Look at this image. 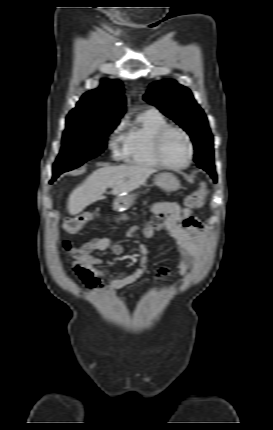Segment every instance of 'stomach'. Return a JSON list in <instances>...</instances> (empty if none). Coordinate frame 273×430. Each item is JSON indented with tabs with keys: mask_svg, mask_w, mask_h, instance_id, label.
I'll list each match as a JSON object with an SVG mask.
<instances>
[{
	"mask_svg": "<svg viewBox=\"0 0 273 430\" xmlns=\"http://www.w3.org/2000/svg\"><path fill=\"white\" fill-rule=\"evenodd\" d=\"M155 184L166 192H173L181 187L177 177L168 172L156 175ZM134 197L135 195L133 194L119 195L114 201V209L118 211L128 209L132 205Z\"/></svg>",
	"mask_w": 273,
	"mask_h": 430,
	"instance_id": "1",
	"label": "stomach"
}]
</instances>
